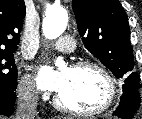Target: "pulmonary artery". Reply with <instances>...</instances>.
<instances>
[{"label":"pulmonary artery","instance_id":"pulmonary-artery-1","mask_svg":"<svg viewBox=\"0 0 142 119\" xmlns=\"http://www.w3.org/2000/svg\"><path fill=\"white\" fill-rule=\"evenodd\" d=\"M52 46L63 53H72L75 50V42L69 36L60 37Z\"/></svg>","mask_w":142,"mask_h":119}]
</instances>
